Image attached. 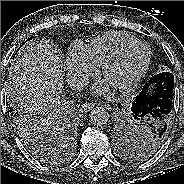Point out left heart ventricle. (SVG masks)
Wrapping results in <instances>:
<instances>
[{
	"label": "left heart ventricle",
	"instance_id": "left-heart-ventricle-1",
	"mask_svg": "<svg viewBox=\"0 0 184 184\" xmlns=\"http://www.w3.org/2000/svg\"><path fill=\"white\" fill-rule=\"evenodd\" d=\"M146 57V50L136 47L127 51L116 63L103 74L105 81L115 87L130 80L141 68Z\"/></svg>",
	"mask_w": 184,
	"mask_h": 184
}]
</instances>
